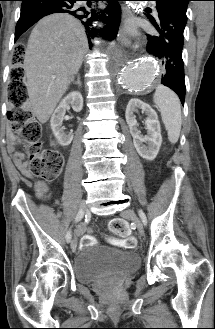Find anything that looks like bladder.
<instances>
[{
  "label": "bladder",
  "mask_w": 215,
  "mask_h": 329,
  "mask_svg": "<svg viewBox=\"0 0 215 329\" xmlns=\"http://www.w3.org/2000/svg\"><path fill=\"white\" fill-rule=\"evenodd\" d=\"M140 265L138 255L105 246L85 247L74 260V274L83 284H90L109 274L134 272Z\"/></svg>",
  "instance_id": "obj_1"
}]
</instances>
